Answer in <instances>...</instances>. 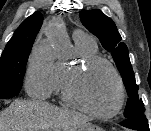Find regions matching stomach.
Listing matches in <instances>:
<instances>
[{"label": "stomach", "instance_id": "stomach-1", "mask_svg": "<svg viewBox=\"0 0 151 131\" xmlns=\"http://www.w3.org/2000/svg\"><path fill=\"white\" fill-rule=\"evenodd\" d=\"M77 131H103V130L97 125L88 123L81 126Z\"/></svg>", "mask_w": 151, "mask_h": 131}]
</instances>
